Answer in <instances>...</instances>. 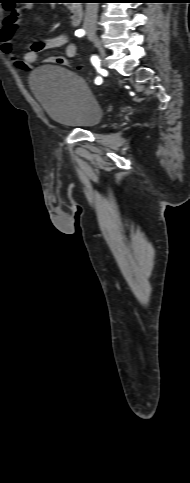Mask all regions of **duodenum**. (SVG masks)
<instances>
[{
    "label": "duodenum",
    "instance_id": "duodenum-1",
    "mask_svg": "<svg viewBox=\"0 0 190 483\" xmlns=\"http://www.w3.org/2000/svg\"><path fill=\"white\" fill-rule=\"evenodd\" d=\"M69 18L73 26L81 23L83 18V8L80 2H74V4H72V6L69 8Z\"/></svg>",
    "mask_w": 190,
    "mask_h": 483
}]
</instances>
